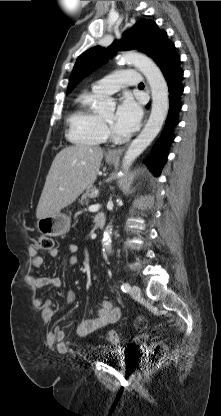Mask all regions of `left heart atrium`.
I'll list each match as a JSON object with an SVG mask.
<instances>
[{"label":"left heart atrium","instance_id":"left-heart-atrium-1","mask_svg":"<svg viewBox=\"0 0 221 416\" xmlns=\"http://www.w3.org/2000/svg\"><path fill=\"white\" fill-rule=\"evenodd\" d=\"M142 111L138 103L131 97H124L117 107L113 127L120 135L134 132L141 120Z\"/></svg>","mask_w":221,"mask_h":416}]
</instances>
